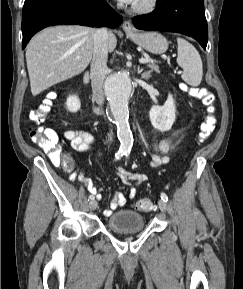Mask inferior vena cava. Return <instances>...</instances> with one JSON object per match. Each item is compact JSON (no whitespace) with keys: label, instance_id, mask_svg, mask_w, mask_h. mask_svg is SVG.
Returning <instances> with one entry per match:
<instances>
[{"label":"inferior vena cava","instance_id":"602c4592","mask_svg":"<svg viewBox=\"0 0 243 289\" xmlns=\"http://www.w3.org/2000/svg\"><path fill=\"white\" fill-rule=\"evenodd\" d=\"M108 31L107 28H98L94 34V50L91 62V84L93 99L99 105L104 103L103 85L107 75V59H108ZM113 132L108 133V141L112 142Z\"/></svg>","mask_w":243,"mask_h":289}]
</instances>
